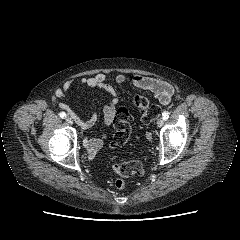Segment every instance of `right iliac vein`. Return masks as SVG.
Wrapping results in <instances>:
<instances>
[{
	"label": "right iliac vein",
	"instance_id": "1",
	"mask_svg": "<svg viewBox=\"0 0 240 240\" xmlns=\"http://www.w3.org/2000/svg\"><path fill=\"white\" fill-rule=\"evenodd\" d=\"M66 121L69 123V124H73V119L71 117H66Z\"/></svg>",
	"mask_w": 240,
	"mask_h": 240
}]
</instances>
